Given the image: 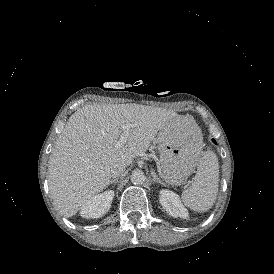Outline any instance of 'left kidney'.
<instances>
[{
    "mask_svg": "<svg viewBox=\"0 0 274 274\" xmlns=\"http://www.w3.org/2000/svg\"><path fill=\"white\" fill-rule=\"evenodd\" d=\"M160 204L169 215L174 218L180 217L187 219L189 217L188 210L182 204L179 196L169 190H161L159 196Z\"/></svg>",
    "mask_w": 274,
    "mask_h": 274,
    "instance_id": "1",
    "label": "left kidney"
}]
</instances>
